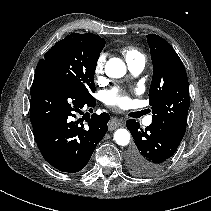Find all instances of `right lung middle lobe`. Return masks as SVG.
<instances>
[{"label": "right lung middle lobe", "mask_w": 211, "mask_h": 211, "mask_svg": "<svg viewBox=\"0 0 211 211\" xmlns=\"http://www.w3.org/2000/svg\"><path fill=\"white\" fill-rule=\"evenodd\" d=\"M101 46L86 34L72 33L55 43L39 60L35 73L54 75L73 84L87 98L95 92L94 73Z\"/></svg>", "instance_id": "1"}]
</instances>
